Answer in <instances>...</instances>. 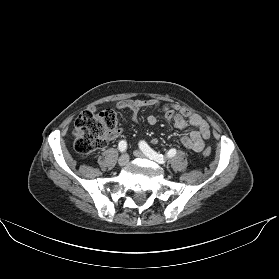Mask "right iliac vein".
Returning <instances> with one entry per match:
<instances>
[{"label":"right iliac vein","instance_id":"obj_1","mask_svg":"<svg viewBox=\"0 0 279 279\" xmlns=\"http://www.w3.org/2000/svg\"><path fill=\"white\" fill-rule=\"evenodd\" d=\"M129 161V156L127 154H123L120 158H119V165L120 166H125Z\"/></svg>","mask_w":279,"mask_h":279}]
</instances>
